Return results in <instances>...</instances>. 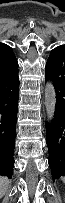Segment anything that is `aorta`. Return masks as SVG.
<instances>
[{"label": "aorta", "instance_id": "aorta-1", "mask_svg": "<svg viewBox=\"0 0 65 203\" xmlns=\"http://www.w3.org/2000/svg\"><path fill=\"white\" fill-rule=\"evenodd\" d=\"M44 104L48 121L54 119L56 106V91L52 80L47 81L44 90Z\"/></svg>", "mask_w": 65, "mask_h": 203}]
</instances>
